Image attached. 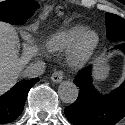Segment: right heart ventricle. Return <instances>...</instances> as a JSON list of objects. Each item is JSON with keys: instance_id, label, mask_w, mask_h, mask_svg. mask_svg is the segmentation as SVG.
Masks as SVG:
<instances>
[{"instance_id": "1", "label": "right heart ventricle", "mask_w": 125, "mask_h": 125, "mask_svg": "<svg viewBox=\"0 0 125 125\" xmlns=\"http://www.w3.org/2000/svg\"><path fill=\"white\" fill-rule=\"evenodd\" d=\"M85 29L83 26H72L53 34L47 42L49 50L52 52H63L67 50L75 43Z\"/></svg>"}]
</instances>
